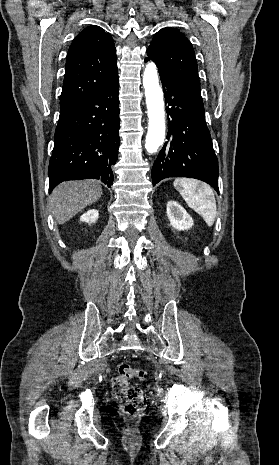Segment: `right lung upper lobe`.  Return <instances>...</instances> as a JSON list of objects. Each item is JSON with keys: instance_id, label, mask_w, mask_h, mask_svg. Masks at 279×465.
<instances>
[{"instance_id": "obj_1", "label": "right lung upper lobe", "mask_w": 279, "mask_h": 465, "mask_svg": "<svg viewBox=\"0 0 279 465\" xmlns=\"http://www.w3.org/2000/svg\"><path fill=\"white\" fill-rule=\"evenodd\" d=\"M117 74L112 37L99 26L85 28L73 40L67 54L60 116L91 98Z\"/></svg>"}]
</instances>
